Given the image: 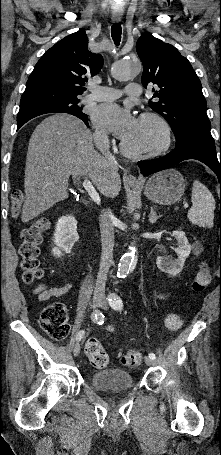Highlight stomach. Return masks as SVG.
Masks as SVG:
<instances>
[{
	"label": "stomach",
	"instance_id": "stomach-1",
	"mask_svg": "<svg viewBox=\"0 0 221 455\" xmlns=\"http://www.w3.org/2000/svg\"><path fill=\"white\" fill-rule=\"evenodd\" d=\"M185 191V180L175 169H167L151 176L144 188L149 200L161 205L178 202Z\"/></svg>",
	"mask_w": 221,
	"mask_h": 455
}]
</instances>
